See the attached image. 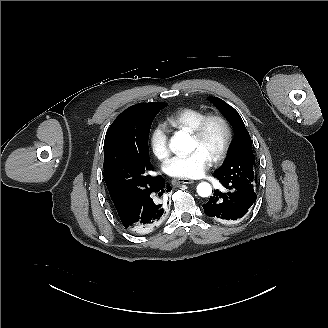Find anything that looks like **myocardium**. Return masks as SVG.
<instances>
[{
    "mask_svg": "<svg viewBox=\"0 0 328 328\" xmlns=\"http://www.w3.org/2000/svg\"><path fill=\"white\" fill-rule=\"evenodd\" d=\"M214 121L221 123L226 132L225 141H224L222 148L211 159L214 163H221L228 156V154L231 150L232 144H233V140H234L233 127H232L231 122L229 121V119L226 116H224L221 113H217V112L206 114L198 122V124L190 131V135L196 141H201L206 134L208 126Z\"/></svg>",
    "mask_w": 328,
    "mask_h": 328,
    "instance_id": "1",
    "label": "myocardium"
}]
</instances>
